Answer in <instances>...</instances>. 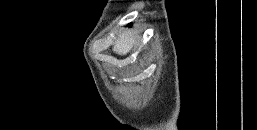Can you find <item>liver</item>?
<instances>
[{
  "mask_svg": "<svg viewBox=\"0 0 257 130\" xmlns=\"http://www.w3.org/2000/svg\"><path fill=\"white\" fill-rule=\"evenodd\" d=\"M135 39L131 31H125L122 35H120L117 42H115L113 46V51L119 55H126L133 48V44Z\"/></svg>",
  "mask_w": 257,
  "mask_h": 130,
  "instance_id": "1",
  "label": "liver"
}]
</instances>
